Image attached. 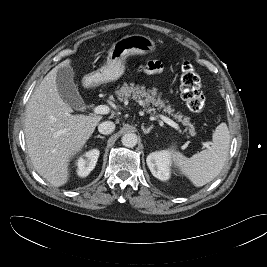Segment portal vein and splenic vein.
Segmentation results:
<instances>
[{"label": "portal vein and splenic vein", "mask_w": 267, "mask_h": 267, "mask_svg": "<svg viewBox=\"0 0 267 267\" xmlns=\"http://www.w3.org/2000/svg\"><path fill=\"white\" fill-rule=\"evenodd\" d=\"M93 112L96 114H108L110 112V108L106 105H99L96 106L93 109ZM158 117L164 121L165 123H167L168 125H170L171 127H173L174 129L180 131V126L174 122L173 120H171L169 117H166L162 114H158ZM203 146L209 148L210 147V143L209 142H203Z\"/></svg>", "instance_id": "18ae733b"}]
</instances>
